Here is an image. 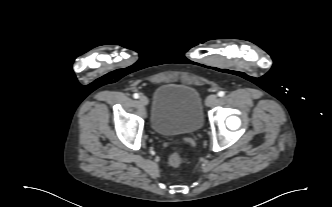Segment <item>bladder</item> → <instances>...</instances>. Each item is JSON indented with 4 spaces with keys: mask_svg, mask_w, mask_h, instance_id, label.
Listing matches in <instances>:
<instances>
[{
    "mask_svg": "<svg viewBox=\"0 0 332 207\" xmlns=\"http://www.w3.org/2000/svg\"><path fill=\"white\" fill-rule=\"evenodd\" d=\"M151 125L162 136L188 135L199 131L203 125L199 91L177 83L160 85L153 95Z\"/></svg>",
    "mask_w": 332,
    "mask_h": 207,
    "instance_id": "obj_1",
    "label": "bladder"
}]
</instances>
